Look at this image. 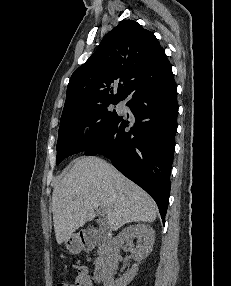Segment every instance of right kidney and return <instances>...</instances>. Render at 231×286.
Listing matches in <instances>:
<instances>
[{
	"label": "right kidney",
	"instance_id": "ca27d5eb",
	"mask_svg": "<svg viewBox=\"0 0 231 286\" xmlns=\"http://www.w3.org/2000/svg\"><path fill=\"white\" fill-rule=\"evenodd\" d=\"M137 238V247L134 248L133 239ZM155 240V231L146 224L131 225L123 229L111 241V254L106 262V271L103 278L104 286H127L137 275L138 266L151 253ZM126 242L129 245V250L132 254L135 264L129 272L123 275L118 280L113 279V273L118 267L117 254L119 248Z\"/></svg>",
	"mask_w": 231,
	"mask_h": 286
}]
</instances>
